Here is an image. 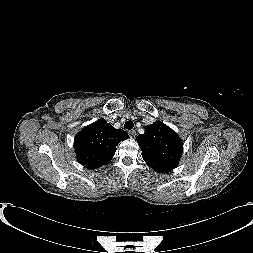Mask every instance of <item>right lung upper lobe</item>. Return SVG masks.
<instances>
[{
  "instance_id": "right-lung-upper-lobe-1",
  "label": "right lung upper lobe",
  "mask_w": 253,
  "mask_h": 253,
  "mask_svg": "<svg viewBox=\"0 0 253 253\" xmlns=\"http://www.w3.org/2000/svg\"><path fill=\"white\" fill-rule=\"evenodd\" d=\"M128 137L124 130L115 129L101 118L86 126L75 137L74 146L77 159L87 168L97 169L111 161L116 146Z\"/></svg>"
}]
</instances>
